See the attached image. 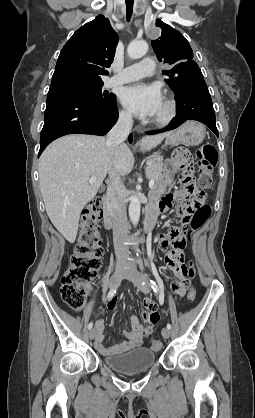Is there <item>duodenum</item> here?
<instances>
[{
	"label": "duodenum",
	"instance_id": "1",
	"mask_svg": "<svg viewBox=\"0 0 255 418\" xmlns=\"http://www.w3.org/2000/svg\"><path fill=\"white\" fill-rule=\"evenodd\" d=\"M104 204V214L103 222L106 229H112L114 226L115 212L112 206V203L107 195L103 197ZM159 214L158 209L151 205L147 208L146 217H145V230L151 231L154 227L155 221Z\"/></svg>",
	"mask_w": 255,
	"mask_h": 418
}]
</instances>
